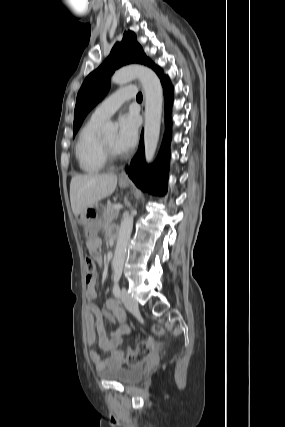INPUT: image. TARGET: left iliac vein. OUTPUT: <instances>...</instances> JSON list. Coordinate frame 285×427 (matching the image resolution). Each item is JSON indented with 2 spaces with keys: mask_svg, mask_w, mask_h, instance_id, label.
Listing matches in <instances>:
<instances>
[{
  "mask_svg": "<svg viewBox=\"0 0 285 427\" xmlns=\"http://www.w3.org/2000/svg\"><path fill=\"white\" fill-rule=\"evenodd\" d=\"M121 300L129 311L137 310L138 308L137 301L129 295V293L125 288H122L121 290Z\"/></svg>",
  "mask_w": 285,
  "mask_h": 427,
  "instance_id": "left-iliac-vein-1",
  "label": "left iliac vein"
}]
</instances>
